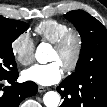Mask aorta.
<instances>
[{
    "label": "aorta",
    "instance_id": "obj_1",
    "mask_svg": "<svg viewBox=\"0 0 107 107\" xmlns=\"http://www.w3.org/2000/svg\"><path fill=\"white\" fill-rule=\"evenodd\" d=\"M36 60L41 63L45 64L47 62V49L45 44H40L35 53ZM43 102L46 107H58L60 103V95L57 92L49 91L43 97Z\"/></svg>",
    "mask_w": 107,
    "mask_h": 107
}]
</instances>
